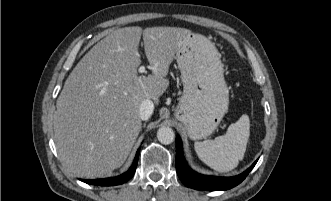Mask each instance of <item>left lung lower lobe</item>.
<instances>
[{
  "label": "left lung lower lobe",
  "instance_id": "left-lung-lower-lobe-1",
  "mask_svg": "<svg viewBox=\"0 0 331 201\" xmlns=\"http://www.w3.org/2000/svg\"><path fill=\"white\" fill-rule=\"evenodd\" d=\"M258 159L242 174L234 177H215L198 174L187 165L182 151V143L176 137V171L182 183L196 190L218 191L228 190L240 184L254 168Z\"/></svg>",
  "mask_w": 331,
  "mask_h": 201
}]
</instances>
